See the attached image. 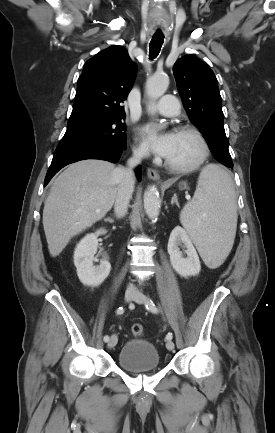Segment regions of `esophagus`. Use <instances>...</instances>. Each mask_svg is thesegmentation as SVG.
<instances>
[{
    "label": "esophagus",
    "instance_id": "1",
    "mask_svg": "<svg viewBox=\"0 0 275 433\" xmlns=\"http://www.w3.org/2000/svg\"><path fill=\"white\" fill-rule=\"evenodd\" d=\"M147 176H148V178H150L151 180H154V181L160 182V175H159L158 171L155 170V169L148 168V169H147Z\"/></svg>",
    "mask_w": 275,
    "mask_h": 433
}]
</instances>
